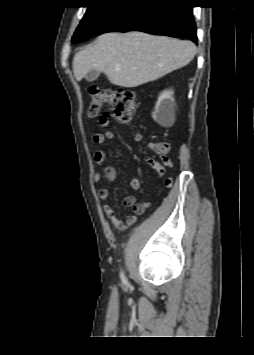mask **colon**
<instances>
[{"label":"colon","mask_w":254,"mask_h":355,"mask_svg":"<svg viewBox=\"0 0 254 355\" xmlns=\"http://www.w3.org/2000/svg\"><path fill=\"white\" fill-rule=\"evenodd\" d=\"M90 104L88 116L90 118L99 117L105 104H109L112 109L114 119L121 124H130L133 121L136 109V95L133 91L125 88H99L92 86L89 88ZM102 118L100 122H103ZM140 140V136H136ZM149 148L156 154L164 156L170 149L167 141L153 142ZM173 184V178L169 177L164 181L165 187Z\"/></svg>","instance_id":"1"}]
</instances>
